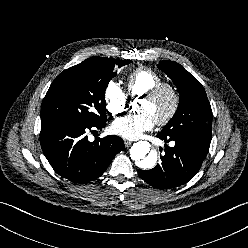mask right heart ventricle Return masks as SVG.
<instances>
[{"instance_id": "1", "label": "right heart ventricle", "mask_w": 248, "mask_h": 248, "mask_svg": "<svg viewBox=\"0 0 248 248\" xmlns=\"http://www.w3.org/2000/svg\"><path fill=\"white\" fill-rule=\"evenodd\" d=\"M162 82V77L149 68H138L128 75L126 86L132 96H142Z\"/></svg>"}]
</instances>
